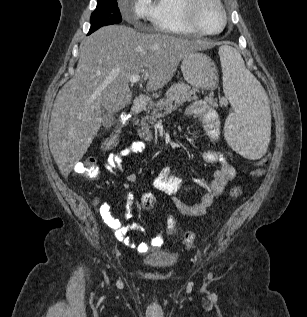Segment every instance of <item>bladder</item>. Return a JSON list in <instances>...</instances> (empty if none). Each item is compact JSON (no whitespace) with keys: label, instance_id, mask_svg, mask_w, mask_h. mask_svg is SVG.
I'll list each match as a JSON object with an SVG mask.
<instances>
[{"label":"bladder","instance_id":"1","mask_svg":"<svg viewBox=\"0 0 307 317\" xmlns=\"http://www.w3.org/2000/svg\"><path fill=\"white\" fill-rule=\"evenodd\" d=\"M143 262L154 269H167L175 264L176 257L174 255L147 256Z\"/></svg>","mask_w":307,"mask_h":317}]
</instances>
